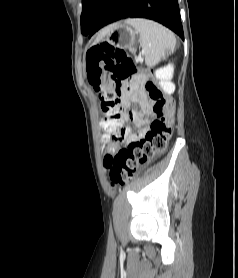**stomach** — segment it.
I'll list each match as a JSON object with an SVG mask.
<instances>
[{
  "mask_svg": "<svg viewBox=\"0 0 238 278\" xmlns=\"http://www.w3.org/2000/svg\"><path fill=\"white\" fill-rule=\"evenodd\" d=\"M104 30L106 32L105 41L110 45L117 48L133 49L138 32L126 21L109 25Z\"/></svg>",
  "mask_w": 238,
  "mask_h": 278,
  "instance_id": "obj_1",
  "label": "stomach"
}]
</instances>
